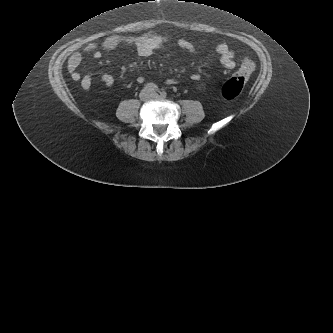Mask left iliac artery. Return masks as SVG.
Returning a JSON list of instances; mask_svg holds the SVG:
<instances>
[{"instance_id":"1","label":"left iliac artery","mask_w":333,"mask_h":333,"mask_svg":"<svg viewBox=\"0 0 333 333\" xmlns=\"http://www.w3.org/2000/svg\"><path fill=\"white\" fill-rule=\"evenodd\" d=\"M160 94H161V96H162L163 98H165L166 95H167V93H166L165 91H162Z\"/></svg>"}]
</instances>
